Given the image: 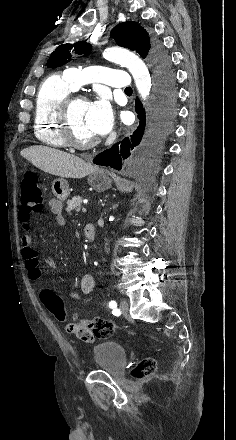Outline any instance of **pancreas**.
<instances>
[{
	"label": "pancreas",
	"mask_w": 236,
	"mask_h": 440,
	"mask_svg": "<svg viewBox=\"0 0 236 440\" xmlns=\"http://www.w3.org/2000/svg\"><path fill=\"white\" fill-rule=\"evenodd\" d=\"M82 201H83V199L80 196L73 197V198L69 199L67 201V208H66L67 213L71 214V211L74 209L79 211L81 204H82Z\"/></svg>",
	"instance_id": "pancreas-1"
}]
</instances>
